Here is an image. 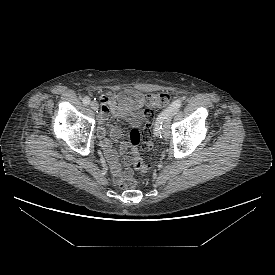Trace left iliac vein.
<instances>
[{
  "label": "left iliac vein",
  "mask_w": 275,
  "mask_h": 275,
  "mask_svg": "<svg viewBox=\"0 0 275 275\" xmlns=\"http://www.w3.org/2000/svg\"><path fill=\"white\" fill-rule=\"evenodd\" d=\"M170 116H167L166 119L164 120L163 124V130H162V135L164 138H168L171 133V127H170Z\"/></svg>",
  "instance_id": "obj_1"
}]
</instances>
